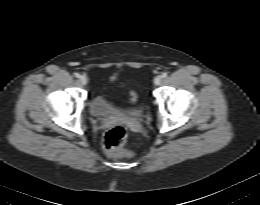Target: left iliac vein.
Instances as JSON below:
<instances>
[{
  "instance_id": "left-iliac-vein-1",
  "label": "left iliac vein",
  "mask_w": 260,
  "mask_h": 205,
  "mask_svg": "<svg viewBox=\"0 0 260 205\" xmlns=\"http://www.w3.org/2000/svg\"><path fill=\"white\" fill-rule=\"evenodd\" d=\"M162 80H163L162 76L155 77V79H154L155 85H160L162 83Z\"/></svg>"
}]
</instances>
